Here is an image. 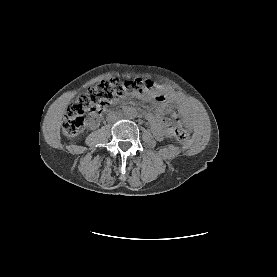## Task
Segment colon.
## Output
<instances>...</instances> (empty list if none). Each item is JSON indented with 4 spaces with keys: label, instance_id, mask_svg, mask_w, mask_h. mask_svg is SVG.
<instances>
[{
    "label": "colon",
    "instance_id": "1",
    "mask_svg": "<svg viewBox=\"0 0 277 277\" xmlns=\"http://www.w3.org/2000/svg\"><path fill=\"white\" fill-rule=\"evenodd\" d=\"M142 83L134 81L118 82V78L102 80L89 86L70 104L62 123L63 133L67 137H76L85 127L86 115L96 117L98 112L119 98L134 94L140 90ZM173 136L178 142L189 138V131L181 124L173 128Z\"/></svg>",
    "mask_w": 277,
    "mask_h": 277
}]
</instances>
